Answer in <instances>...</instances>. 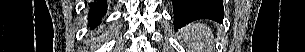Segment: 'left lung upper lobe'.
Masks as SVG:
<instances>
[{"label":"left lung upper lobe","mask_w":305,"mask_h":52,"mask_svg":"<svg viewBox=\"0 0 305 52\" xmlns=\"http://www.w3.org/2000/svg\"><path fill=\"white\" fill-rule=\"evenodd\" d=\"M207 13L198 9L184 10L176 16L175 22L180 25H185L197 19L206 18Z\"/></svg>","instance_id":"left-lung-upper-lobe-1"}]
</instances>
